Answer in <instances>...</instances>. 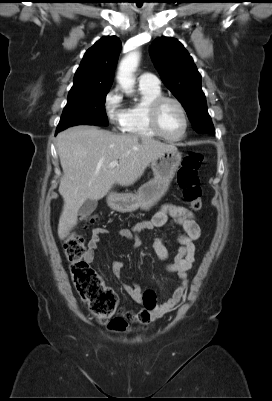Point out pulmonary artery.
I'll use <instances>...</instances> for the list:
<instances>
[{
    "label": "pulmonary artery",
    "instance_id": "pulmonary-artery-1",
    "mask_svg": "<svg viewBox=\"0 0 272 401\" xmlns=\"http://www.w3.org/2000/svg\"><path fill=\"white\" fill-rule=\"evenodd\" d=\"M139 86L158 88L160 87L159 79L151 73H143L138 78Z\"/></svg>",
    "mask_w": 272,
    "mask_h": 401
}]
</instances>
